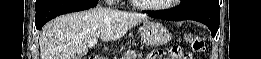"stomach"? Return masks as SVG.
I'll return each mask as SVG.
<instances>
[{
  "mask_svg": "<svg viewBox=\"0 0 261 59\" xmlns=\"http://www.w3.org/2000/svg\"><path fill=\"white\" fill-rule=\"evenodd\" d=\"M141 41L151 46H162L171 40L169 30L159 22L146 21L140 30Z\"/></svg>",
  "mask_w": 261,
  "mask_h": 59,
  "instance_id": "1",
  "label": "stomach"
}]
</instances>
